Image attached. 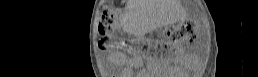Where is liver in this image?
Wrapping results in <instances>:
<instances>
[{
	"label": "liver",
	"instance_id": "6515ba94",
	"mask_svg": "<svg viewBox=\"0 0 258 77\" xmlns=\"http://www.w3.org/2000/svg\"><path fill=\"white\" fill-rule=\"evenodd\" d=\"M140 1L137 0H130L129 1V10H130V15L135 18L138 17L139 14L141 13V9L139 7Z\"/></svg>",
	"mask_w": 258,
	"mask_h": 77
}]
</instances>
